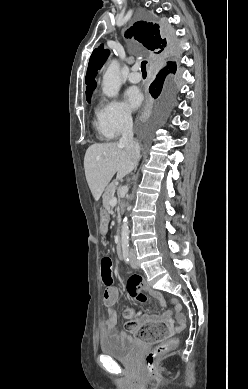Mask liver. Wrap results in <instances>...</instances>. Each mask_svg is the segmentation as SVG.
<instances>
[{
  "label": "liver",
  "instance_id": "liver-1",
  "mask_svg": "<svg viewBox=\"0 0 248 389\" xmlns=\"http://www.w3.org/2000/svg\"><path fill=\"white\" fill-rule=\"evenodd\" d=\"M134 168L133 159L118 143H97L88 147L84 157L85 176L93 197L98 200L117 173L121 180Z\"/></svg>",
  "mask_w": 248,
  "mask_h": 389
}]
</instances>
